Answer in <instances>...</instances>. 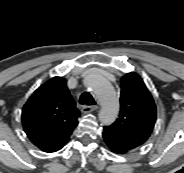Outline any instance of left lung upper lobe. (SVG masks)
I'll return each mask as SVG.
<instances>
[{"mask_svg": "<svg viewBox=\"0 0 184 173\" xmlns=\"http://www.w3.org/2000/svg\"><path fill=\"white\" fill-rule=\"evenodd\" d=\"M121 83L119 117L112 125L105 126L104 130L132 150L149 138L156 121V106L138 74H126Z\"/></svg>", "mask_w": 184, "mask_h": 173, "instance_id": "left-lung-upper-lobe-1", "label": "left lung upper lobe"}]
</instances>
